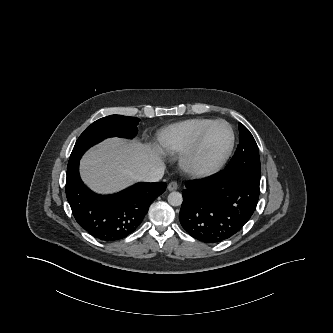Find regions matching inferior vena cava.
Wrapping results in <instances>:
<instances>
[{"instance_id": "inferior-vena-cava-1", "label": "inferior vena cava", "mask_w": 333, "mask_h": 333, "mask_svg": "<svg viewBox=\"0 0 333 333\" xmlns=\"http://www.w3.org/2000/svg\"><path fill=\"white\" fill-rule=\"evenodd\" d=\"M164 175V168L162 166H155L139 175L138 180L145 182H157Z\"/></svg>"}]
</instances>
